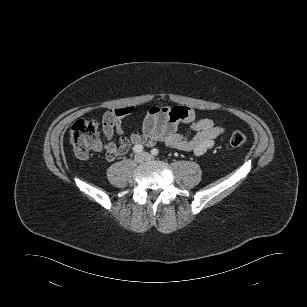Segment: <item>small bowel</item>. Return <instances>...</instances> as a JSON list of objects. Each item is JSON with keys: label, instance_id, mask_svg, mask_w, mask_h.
<instances>
[{"label": "small bowel", "instance_id": "1", "mask_svg": "<svg viewBox=\"0 0 307 307\" xmlns=\"http://www.w3.org/2000/svg\"><path fill=\"white\" fill-rule=\"evenodd\" d=\"M133 111L134 107L127 106L111 109L104 115L103 133L107 139L104 146L107 160L113 161L127 154L133 144L150 147L157 142L201 156L210 150L215 144V139L224 133V128L215 125L213 120L198 119L196 112L189 107L154 106L145 113L141 131H134L127 138L123 135L121 119ZM181 123L188 124L194 135L178 133V126ZM114 134L119 135L118 144L111 141Z\"/></svg>", "mask_w": 307, "mask_h": 307}]
</instances>
